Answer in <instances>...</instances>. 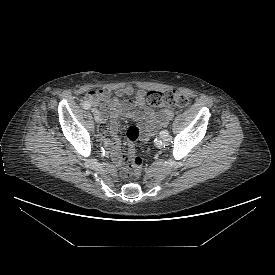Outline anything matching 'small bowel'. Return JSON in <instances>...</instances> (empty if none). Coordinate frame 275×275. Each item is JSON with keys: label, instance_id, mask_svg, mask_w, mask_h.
Here are the masks:
<instances>
[{"label": "small bowel", "instance_id": "obj_1", "mask_svg": "<svg viewBox=\"0 0 275 275\" xmlns=\"http://www.w3.org/2000/svg\"><path fill=\"white\" fill-rule=\"evenodd\" d=\"M88 100L101 108V136L105 145L111 149L112 156L117 166L127 161V157L122 155V145L117 136L118 120L132 118L138 122L142 131L141 139L148 141L154 133L166 126L172 118V111L161 108L158 111L152 109L146 103V91L135 90L131 86H125L111 94L110 91L100 89L90 91ZM134 96L133 99L120 100V97Z\"/></svg>", "mask_w": 275, "mask_h": 275}]
</instances>
